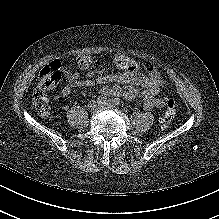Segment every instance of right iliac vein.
<instances>
[{
  "instance_id": "63e3f726",
  "label": "right iliac vein",
  "mask_w": 219,
  "mask_h": 219,
  "mask_svg": "<svg viewBox=\"0 0 219 219\" xmlns=\"http://www.w3.org/2000/svg\"><path fill=\"white\" fill-rule=\"evenodd\" d=\"M99 107H100V104H95L94 106H92L91 112L96 113L98 111Z\"/></svg>"
}]
</instances>
